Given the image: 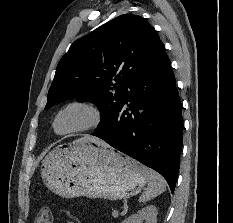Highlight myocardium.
I'll return each mask as SVG.
<instances>
[{"instance_id": "myocardium-1", "label": "myocardium", "mask_w": 233, "mask_h": 223, "mask_svg": "<svg viewBox=\"0 0 233 223\" xmlns=\"http://www.w3.org/2000/svg\"><path fill=\"white\" fill-rule=\"evenodd\" d=\"M74 106H80V107H84L88 110H90L93 115H94V123L84 129L78 130V131H74V132H69V133H59L56 129V123L57 120L60 116V114L62 112H64L66 109L70 108V107H74ZM105 121V114L103 109L101 108V106L99 104H97L94 101H90V100H74L72 102L67 103L66 105H64L63 107H61L57 113L54 116V119L52 121V129L54 131L55 134L59 135V136H77V135H85L88 133H92L98 129H100Z\"/></svg>"}]
</instances>
